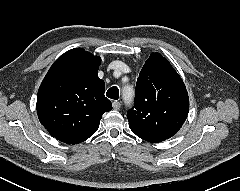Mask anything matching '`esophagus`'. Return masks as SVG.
Returning a JSON list of instances; mask_svg holds the SVG:
<instances>
[{
  "label": "esophagus",
  "instance_id": "1",
  "mask_svg": "<svg viewBox=\"0 0 240 191\" xmlns=\"http://www.w3.org/2000/svg\"><path fill=\"white\" fill-rule=\"evenodd\" d=\"M112 106H113V109L119 110L120 107H121V103L118 102V101H114V102L112 103Z\"/></svg>",
  "mask_w": 240,
  "mask_h": 191
}]
</instances>
